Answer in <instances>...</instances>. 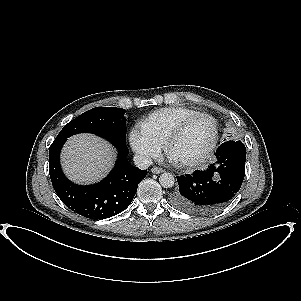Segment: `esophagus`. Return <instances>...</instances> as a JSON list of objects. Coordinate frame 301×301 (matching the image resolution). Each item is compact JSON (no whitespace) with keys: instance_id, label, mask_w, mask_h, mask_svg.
I'll return each mask as SVG.
<instances>
[{"instance_id":"esophagus-1","label":"esophagus","mask_w":301,"mask_h":301,"mask_svg":"<svg viewBox=\"0 0 301 301\" xmlns=\"http://www.w3.org/2000/svg\"><path fill=\"white\" fill-rule=\"evenodd\" d=\"M165 170L164 169H162V168H160V167H153L152 169H151V172L153 173V174H159V173H162V172H164Z\"/></svg>"}]
</instances>
